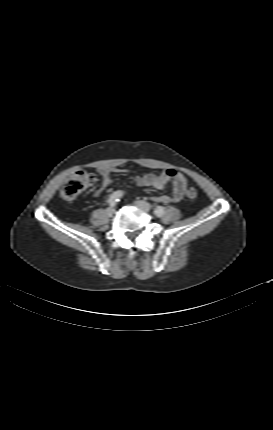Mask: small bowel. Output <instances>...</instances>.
I'll list each match as a JSON object with an SVG mask.
<instances>
[{
    "label": "small bowel",
    "mask_w": 273,
    "mask_h": 430,
    "mask_svg": "<svg viewBox=\"0 0 273 430\" xmlns=\"http://www.w3.org/2000/svg\"><path fill=\"white\" fill-rule=\"evenodd\" d=\"M121 171L119 168L101 169V184L95 190L94 195L99 196L111 184L112 174ZM135 183L138 186L154 187L157 189H164L168 184H171L172 193L170 195H162L154 198V201L163 204L179 202L183 199L187 188V180L184 175L174 170L143 173L135 177Z\"/></svg>",
    "instance_id": "obj_1"
}]
</instances>
